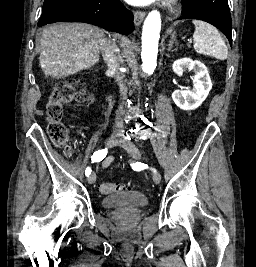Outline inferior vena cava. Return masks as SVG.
<instances>
[{"label":"inferior vena cava","instance_id":"1","mask_svg":"<svg viewBox=\"0 0 256 267\" xmlns=\"http://www.w3.org/2000/svg\"><path fill=\"white\" fill-rule=\"evenodd\" d=\"M100 52L103 56V60H105L108 66V70H110V72H114L115 80L120 86V94L123 96V100H126L127 88L123 82L125 78L124 72H120V66L123 64V60L121 56H119V48H117L116 44H113V42H109V40H103L100 46ZM118 112L119 114H123L122 108H119ZM116 124L117 126H122L121 116H117Z\"/></svg>","mask_w":256,"mask_h":267}]
</instances>
